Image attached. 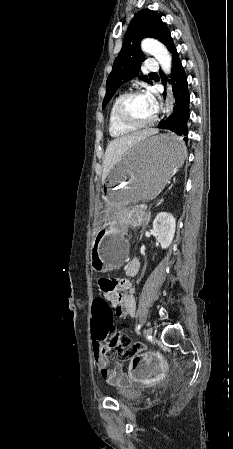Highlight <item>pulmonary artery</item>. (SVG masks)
Wrapping results in <instances>:
<instances>
[{
    "label": "pulmonary artery",
    "instance_id": "obj_1",
    "mask_svg": "<svg viewBox=\"0 0 233 449\" xmlns=\"http://www.w3.org/2000/svg\"><path fill=\"white\" fill-rule=\"evenodd\" d=\"M146 69L150 71H156L158 69V64L155 60H149L146 64Z\"/></svg>",
    "mask_w": 233,
    "mask_h": 449
}]
</instances>
